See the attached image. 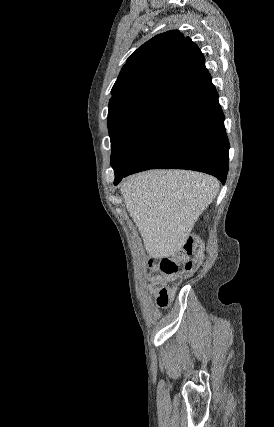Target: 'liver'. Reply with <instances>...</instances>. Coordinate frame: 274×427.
Listing matches in <instances>:
<instances>
[{
	"mask_svg": "<svg viewBox=\"0 0 274 427\" xmlns=\"http://www.w3.org/2000/svg\"><path fill=\"white\" fill-rule=\"evenodd\" d=\"M150 257L180 251L198 217L213 202L219 182L187 170H150L124 178L120 186Z\"/></svg>",
	"mask_w": 274,
	"mask_h": 427,
	"instance_id": "1",
	"label": "liver"
}]
</instances>
